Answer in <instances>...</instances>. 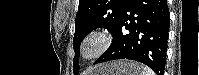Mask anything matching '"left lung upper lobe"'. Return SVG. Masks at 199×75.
Returning a JSON list of instances; mask_svg holds the SVG:
<instances>
[{"label":"left lung upper lobe","mask_w":199,"mask_h":75,"mask_svg":"<svg viewBox=\"0 0 199 75\" xmlns=\"http://www.w3.org/2000/svg\"><path fill=\"white\" fill-rule=\"evenodd\" d=\"M127 2L128 0H79L73 38L75 75L79 71L78 57L82 40L98 27L107 28L113 33Z\"/></svg>","instance_id":"5c2ea615"}]
</instances>
